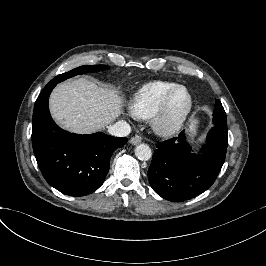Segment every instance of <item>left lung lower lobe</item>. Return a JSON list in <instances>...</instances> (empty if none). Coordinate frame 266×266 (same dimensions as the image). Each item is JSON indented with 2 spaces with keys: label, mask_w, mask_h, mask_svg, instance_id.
<instances>
[{
  "label": "left lung lower lobe",
  "mask_w": 266,
  "mask_h": 266,
  "mask_svg": "<svg viewBox=\"0 0 266 266\" xmlns=\"http://www.w3.org/2000/svg\"><path fill=\"white\" fill-rule=\"evenodd\" d=\"M227 133V126L214 125L201 154L191 152L184 132L157 143L148 169L153 190L172 202L189 200L206 191L214 183L224 163Z\"/></svg>",
  "instance_id": "left-lung-lower-lobe-1"
}]
</instances>
